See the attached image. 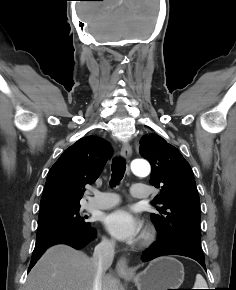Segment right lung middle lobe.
<instances>
[{"label": "right lung middle lobe", "instance_id": "right-lung-middle-lobe-1", "mask_svg": "<svg viewBox=\"0 0 236 290\" xmlns=\"http://www.w3.org/2000/svg\"><path fill=\"white\" fill-rule=\"evenodd\" d=\"M80 205L52 207L40 210L37 237L56 231L75 230L90 226L79 214Z\"/></svg>", "mask_w": 236, "mask_h": 290}]
</instances>
